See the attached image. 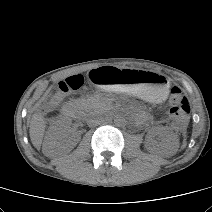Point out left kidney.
<instances>
[{
	"label": "left kidney",
	"instance_id": "left-kidney-1",
	"mask_svg": "<svg viewBox=\"0 0 212 212\" xmlns=\"http://www.w3.org/2000/svg\"><path fill=\"white\" fill-rule=\"evenodd\" d=\"M155 133L159 141L153 140L151 137L147 138L145 142L147 150L166 157L176 154L179 147L177 135L166 128H159Z\"/></svg>",
	"mask_w": 212,
	"mask_h": 212
}]
</instances>
